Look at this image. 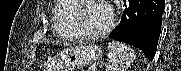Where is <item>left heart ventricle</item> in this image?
I'll use <instances>...</instances> for the list:
<instances>
[{"label":"left heart ventricle","mask_w":181,"mask_h":71,"mask_svg":"<svg viewBox=\"0 0 181 71\" xmlns=\"http://www.w3.org/2000/svg\"><path fill=\"white\" fill-rule=\"evenodd\" d=\"M81 11L78 16L79 26L88 32L104 29L110 21V11L101 0H78Z\"/></svg>","instance_id":"b2bd125f"}]
</instances>
